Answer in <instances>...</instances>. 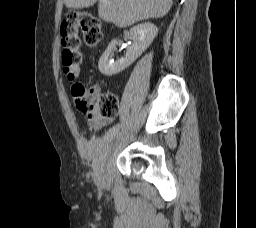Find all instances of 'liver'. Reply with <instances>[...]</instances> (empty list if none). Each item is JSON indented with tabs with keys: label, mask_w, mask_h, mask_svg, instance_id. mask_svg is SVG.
Segmentation results:
<instances>
[{
	"label": "liver",
	"mask_w": 256,
	"mask_h": 228,
	"mask_svg": "<svg viewBox=\"0 0 256 228\" xmlns=\"http://www.w3.org/2000/svg\"><path fill=\"white\" fill-rule=\"evenodd\" d=\"M67 8L81 9L98 2V16L117 27L165 16L172 0H64Z\"/></svg>",
	"instance_id": "6515ba94"
}]
</instances>
